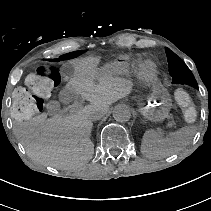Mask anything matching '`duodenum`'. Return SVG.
<instances>
[{"label":"duodenum","mask_w":211,"mask_h":211,"mask_svg":"<svg viewBox=\"0 0 211 211\" xmlns=\"http://www.w3.org/2000/svg\"><path fill=\"white\" fill-rule=\"evenodd\" d=\"M72 89H73L74 91L78 90V89H79V84H78V83H73V84H72Z\"/></svg>","instance_id":"obj_1"}]
</instances>
